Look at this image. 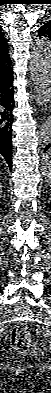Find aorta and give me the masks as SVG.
I'll list each match as a JSON object with an SVG mask.
<instances>
[{
	"label": "aorta",
	"mask_w": 51,
	"mask_h": 393,
	"mask_svg": "<svg viewBox=\"0 0 51 393\" xmlns=\"http://www.w3.org/2000/svg\"><path fill=\"white\" fill-rule=\"evenodd\" d=\"M31 79L44 101L51 98V42L48 38L37 39L32 47L30 57ZM43 142L51 140V121L47 119L40 130Z\"/></svg>",
	"instance_id": "762f6f07"
}]
</instances>
